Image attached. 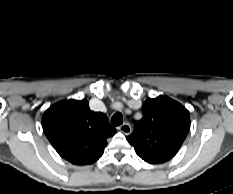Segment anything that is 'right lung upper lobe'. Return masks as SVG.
Listing matches in <instances>:
<instances>
[{
    "instance_id": "obj_1",
    "label": "right lung upper lobe",
    "mask_w": 233,
    "mask_h": 194,
    "mask_svg": "<svg viewBox=\"0 0 233 194\" xmlns=\"http://www.w3.org/2000/svg\"><path fill=\"white\" fill-rule=\"evenodd\" d=\"M42 127L58 154L75 165L96 162L104 153L107 138L116 133L108 118L93 112L87 100H64L50 106Z\"/></svg>"
}]
</instances>
